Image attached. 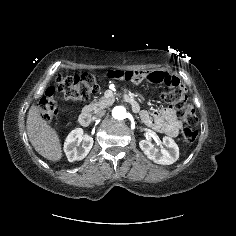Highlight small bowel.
I'll return each mask as SVG.
<instances>
[{"label":"small bowel","mask_w":236,"mask_h":236,"mask_svg":"<svg viewBox=\"0 0 236 236\" xmlns=\"http://www.w3.org/2000/svg\"><path fill=\"white\" fill-rule=\"evenodd\" d=\"M108 77L113 82L118 80L134 83L146 81L167 86H180V80L167 72L160 70L137 71L132 66H126L120 71L113 69L109 72ZM140 116L147 126L160 133L177 137L181 132V123L175 118L174 111L169 107L153 112L143 110Z\"/></svg>","instance_id":"1"}]
</instances>
